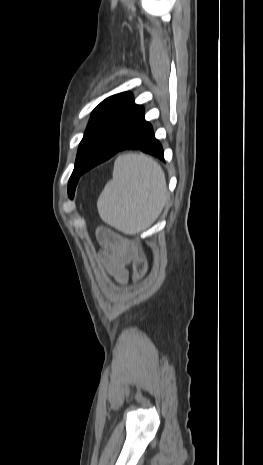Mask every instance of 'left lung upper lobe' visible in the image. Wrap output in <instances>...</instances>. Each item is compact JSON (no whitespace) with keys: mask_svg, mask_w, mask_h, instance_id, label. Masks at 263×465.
Masks as SVG:
<instances>
[{"mask_svg":"<svg viewBox=\"0 0 263 465\" xmlns=\"http://www.w3.org/2000/svg\"><path fill=\"white\" fill-rule=\"evenodd\" d=\"M133 101L129 92H123L102 101L92 112L84 137L79 145L73 173L68 183V195L73 198L81 169L87 162L99 138L116 117Z\"/></svg>","mask_w":263,"mask_h":465,"instance_id":"obj_1","label":"left lung upper lobe"}]
</instances>
